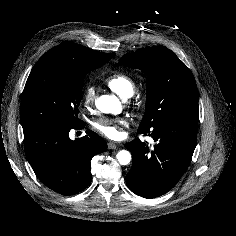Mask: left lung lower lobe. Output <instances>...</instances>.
Segmentation results:
<instances>
[{"label":"left lung lower lobe","mask_w":236,"mask_h":236,"mask_svg":"<svg viewBox=\"0 0 236 236\" xmlns=\"http://www.w3.org/2000/svg\"><path fill=\"white\" fill-rule=\"evenodd\" d=\"M198 122L169 120L150 130L139 131L156 144L149 149L136 138L125 147L132 154V168L127 174L129 189L145 198L170 191L189 166L196 147Z\"/></svg>","instance_id":"1"}]
</instances>
